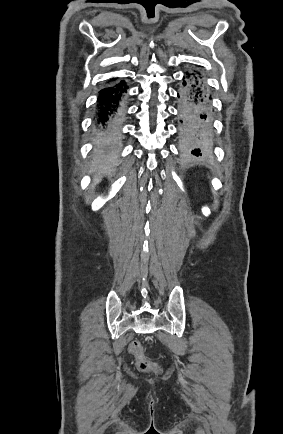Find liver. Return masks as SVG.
Masks as SVG:
<instances>
[{
	"instance_id": "6515ba94",
	"label": "liver",
	"mask_w": 283,
	"mask_h": 434,
	"mask_svg": "<svg viewBox=\"0 0 283 434\" xmlns=\"http://www.w3.org/2000/svg\"><path fill=\"white\" fill-rule=\"evenodd\" d=\"M99 181H100V178H99V177H96V178L94 179V184L99 183Z\"/></svg>"
}]
</instances>
